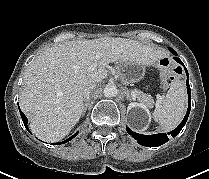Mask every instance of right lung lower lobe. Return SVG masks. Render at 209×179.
Instances as JSON below:
<instances>
[{"mask_svg": "<svg viewBox=\"0 0 209 179\" xmlns=\"http://www.w3.org/2000/svg\"><path fill=\"white\" fill-rule=\"evenodd\" d=\"M19 110H20V109H19ZM20 115H21V118H22V120H23V123H24L26 129L29 131L28 126H27V122H28V121H27V118H26V116L24 115V113L21 112V110H20ZM77 134H78V132H76L73 136H71L70 138H68V139L65 140V141H62V142H59V143H53V144H55V145L64 144V143L70 141L71 139H73Z\"/></svg>", "mask_w": 209, "mask_h": 179, "instance_id": "right-lung-lower-lobe-1", "label": "right lung lower lobe"}]
</instances>
